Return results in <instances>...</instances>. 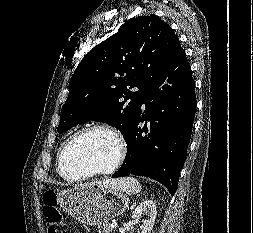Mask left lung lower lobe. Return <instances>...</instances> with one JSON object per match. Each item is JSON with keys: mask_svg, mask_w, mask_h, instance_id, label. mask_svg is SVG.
I'll return each instance as SVG.
<instances>
[{"mask_svg": "<svg viewBox=\"0 0 253 233\" xmlns=\"http://www.w3.org/2000/svg\"><path fill=\"white\" fill-rule=\"evenodd\" d=\"M195 110V82L185 51L178 44L164 75L148 89L134 115L125 137V160L113 177L147 176L173 195L186 159Z\"/></svg>", "mask_w": 253, "mask_h": 233, "instance_id": "0a47b994", "label": "left lung lower lobe"}]
</instances>
